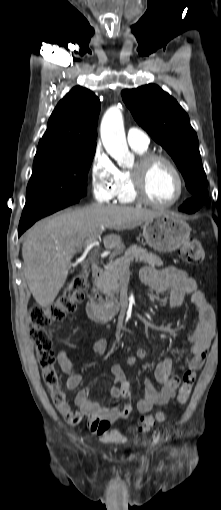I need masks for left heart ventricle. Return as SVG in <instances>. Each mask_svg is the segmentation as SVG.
Returning a JSON list of instances; mask_svg holds the SVG:
<instances>
[{"label": "left heart ventricle", "mask_w": 221, "mask_h": 510, "mask_svg": "<svg viewBox=\"0 0 221 510\" xmlns=\"http://www.w3.org/2000/svg\"><path fill=\"white\" fill-rule=\"evenodd\" d=\"M146 192L156 202H168L178 193V181L171 168L157 162L149 170L145 182Z\"/></svg>", "instance_id": "1"}]
</instances>
